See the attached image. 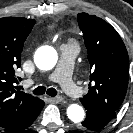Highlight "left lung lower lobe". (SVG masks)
Wrapping results in <instances>:
<instances>
[{
	"mask_svg": "<svg viewBox=\"0 0 133 133\" xmlns=\"http://www.w3.org/2000/svg\"><path fill=\"white\" fill-rule=\"evenodd\" d=\"M86 118L79 126L83 131H98L104 128L115 116V112L105 111L95 105L83 104Z\"/></svg>",
	"mask_w": 133,
	"mask_h": 133,
	"instance_id": "1",
	"label": "left lung lower lobe"
}]
</instances>
